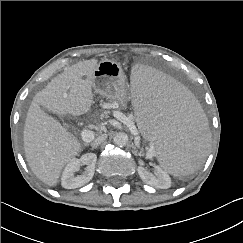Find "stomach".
<instances>
[{
    "label": "stomach",
    "mask_w": 243,
    "mask_h": 243,
    "mask_svg": "<svg viewBox=\"0 0 243 243\" xmlns=\"http://www.w3.org/2000/svg\"><path fill=\"white\" fill-rule=\"evenodd\" d=\"M93 89L107 99L117 101L125 108L129 99L126 76L121 66L109 59L97 64L94 71Z\"/></svg>",
    "instance_id": "stomach-1"
}]
</instances>
